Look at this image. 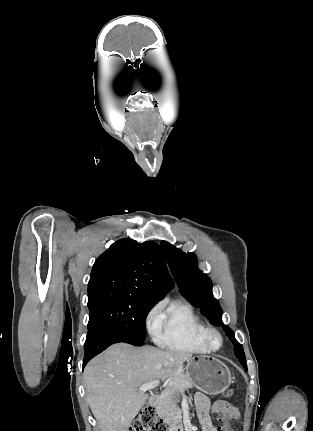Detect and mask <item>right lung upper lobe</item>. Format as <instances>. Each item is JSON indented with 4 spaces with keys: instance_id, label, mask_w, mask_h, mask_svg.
I'll list each match as a JSON object with an SVG mask.
<instances>
[{
    "instance_id": "cb5924a9",
    "label": "right lung upper lobe",
    "mask_w": 313,
    "mask_h": 431,
    "mask_svg": "<svg viewBox=\"0 0 313 431\" xmlns=\"http://www.w3.org/2000/svg\"><path fill=\"white\" fill-rule=\"evenodd\" d=\"M173 287L160 246L147 241L122 239L95 261L88 283V297L105 291H126L155 301Z\"/></svg>"
}]
</instances>
